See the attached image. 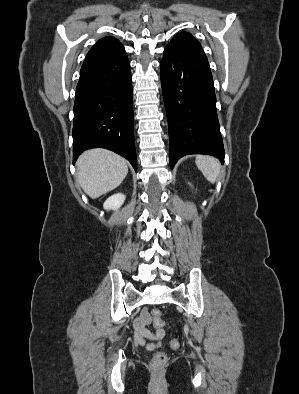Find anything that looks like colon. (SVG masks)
<instances>
[{"label": "colon", "mask_w": 299, "mask_h": 394, "mask_svg": "<svg viewBox=\"0 0 299 394\" xmlns=\"http://www.w3.org/2000/svg\"><path fill=\"white\" fill-rule=\"evenodd\" d=\"M152 317L158 326L163 327L165 325L164 322L161 320V312L159 310L157 309L153 310ZM178 345L179 344L176 340H171L170 342L171 347L177 348ZM166 362H167L166 354L163 352H157L151 357L150 365L153 368H159L164 366Z\"/></svg>", "instance_id": "colon-1"}]
</instances>
